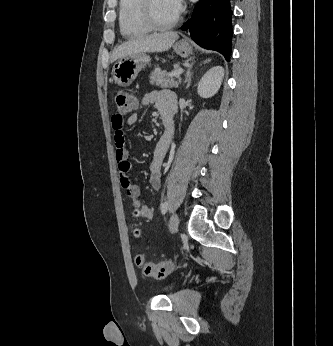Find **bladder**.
<instances>
[{
	"mask_svg": "<svg viewBox=\"0 0 333 346\" xmlns=\"http://www.w3.org/2000/svg\"><path fill=\"white\" fill-rule=\"evenodd\" d=\"M175 286V282H169L162 287L164 293L170 292Z\"/></svg>",
	"mask_w": 333,
	"mask_h": 346,
	"instance_id": "bladder-1",
	"label": "bladder"
}]
</instances>
